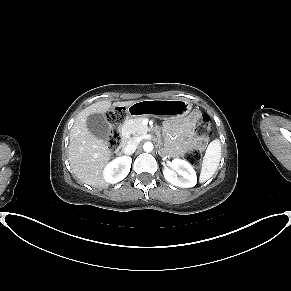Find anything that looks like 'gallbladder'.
<instances>
[{
	"label": "gallbladder",
	"mask_w": 291,
	"mask_h": 291,
	"mask_svg": "<svg viewBox=\"0 0 291 291\" xmlns=\"http://www.w3.org/2000/svg\"><path fill=\"white\" fill-rule=\"evenodd\" d=\"M86 125L89 132L96 138L101 140H108L109 138V124L104 115L100 113L90 114L87 117Z\"/></svg>",
	"instance_id": "bac80fb5"
}]
</instances>
